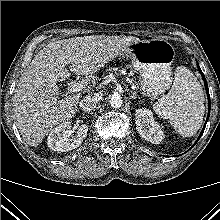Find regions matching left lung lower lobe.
<instances>
[{
  "label": "left lung lower lobe",
  "mask_w": 220,
  "mask_h": 220,
  "mask_svg": "<svg viewBox=\"0 0 220 220\" xmlns=\"http://www.w3.org/2000/svg\"><path fill=\"white\" fill-rule=\"evenodd\" d=\"M197 67H198L199 72L201 73V76H202V78H203V81H204V84H205V88H206V92H207V94H209L208 85H207L205 76H204V74L202 73V71H201V69H200L198 63H197ZM208 104H209V106H208V116H207L205 125H204V127H203V129H202V132H201V134L199 135V137H198L197 141L195 142V144L198 142V140H199L200 137L202 136V134H203V132H204V129H205V127H206V123H207L208 118H209V114H210V98H209V97H208ZM195 144H194V145H195Z\"/></svg>",
  "instance_id": "obj_1"
}]
</instances>
